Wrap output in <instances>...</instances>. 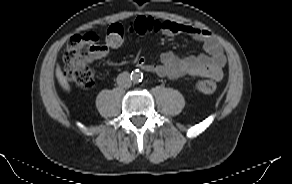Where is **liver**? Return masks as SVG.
I'll list each match as a JSON object with an SVG mask.
<instances>
[{
    "label": "liver",
    "mask_w": 292,
    "mask_h": 184,
    "mask_svg": "<svg viewBox=\"0 0 292 184\" xmlns=\"http://www.w3.org/2000/svg\"><path fill=\"white\" fill-rule=\"evenodd\" d=\"M56 77L58 79V82L62 86V88L67 90V91H69L70 90V86H69V84L67 82V79L63 75V72L61 71L59 65H57V67H56Z\"/></svg>",
    "instance_id": "6515ba94"
}]
</instances>
